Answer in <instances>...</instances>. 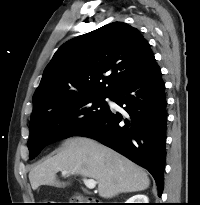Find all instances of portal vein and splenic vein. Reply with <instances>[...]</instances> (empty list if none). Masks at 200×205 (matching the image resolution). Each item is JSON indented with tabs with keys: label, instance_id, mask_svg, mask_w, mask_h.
<instances>
[{
	"label": "portal vein and splenic vein",
	"instance_id": "18ae733b",
	"mask_svg": "<svg viewBox=\"0 0 200 205\" xmlns=\"http://www.w3.org/2000/svg\"><path fill=\"white\" fill-rule=\"evenodd\" d=\"M62 174H67V171H62ZM83 182H84L85 186L88 189H94L95 186H96V181L94 179H86V178H84Z\"/></svg>",
	"mask_w": 200,
	"mask_h": 205
}]
</instances>
